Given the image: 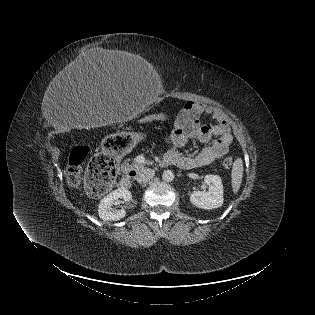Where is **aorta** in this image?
<instances>
[{"label": "aorta", "mask_w": 315, "mask_h": 315, "mask_svg": "<svg viewBox=\"0 0 315 315\" xmlns=\"http://www.w3.org/2000/svg\"><path fill=\"white\" fill-rule=\"evenodd\" d=\"M162 178L166 182H171L174 179V173L171 170H165L162 174Z\"/></svg>", "instance_id": "obj_1"}]
</instances>
